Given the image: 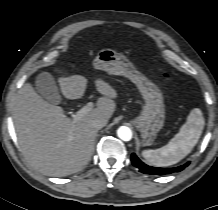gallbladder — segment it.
<instances>
[{
	"mask_svg": "<svg viewBox=\"0 0 218 210\" xmlns=\"http://www.w3.org/2000/svg\"><path fill=\"white\" fill-rule=\"evenodd\" d=\"M36 91L48 102L58 104L61 96L53 76L48 72L40 73L35 80Z\"/></svg>",
	"mask_w": 218,
	"mask_h": 210,
	"instance_id": "1",
	"label": "gallbladder"
}]
</instances>
